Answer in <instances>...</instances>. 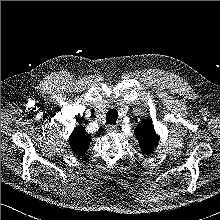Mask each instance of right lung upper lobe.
Returning a JSON list of instances; mask_svg holds the SVG:
<instances>
[{
  "instance_id": "1",
  "label": "right lung upper lobe",
  "mask_w": 220,
  "mask_h": 220,
  "mask_svg": "<svg viewBox=\"0 0 220 220\" xmlns=\"http://www.w3.org/2000/svg\"><path fill=\"white\" fill-rule=\"evenodd\" d=\"M91 142V136L85 131L83 126L75 127L74 131L70 135V145L73 152L81 157L85 154L89 148Z\"/></svg>"
}]
</instances>
